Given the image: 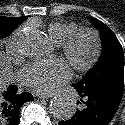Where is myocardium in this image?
Here are the masks:
<instances>
[{
	"instance_id": "1",
	"label": "myocardium",
	"mask_w": 125,
	"mask_h": 125,
	"mask_svg": "<svg viewBox=\"0 0 125 125\" xmlns=\"http://www.w3.org/2000/svg\"><path fill=\"white\" fill-rule=\"evenodd\" d=\"M86 37L91 42V48L87 56L81 58L78 54V45ZM61 48L63 55L74 70L86 72L98 62L102 44L98 32L90 28H79L62 43Z\"/></svg>"
}]
</instances>
